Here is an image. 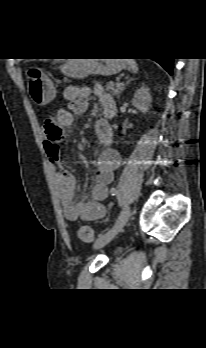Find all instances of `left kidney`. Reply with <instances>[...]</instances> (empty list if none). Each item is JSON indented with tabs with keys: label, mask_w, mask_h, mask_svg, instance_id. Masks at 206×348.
Returning a JSON list of instances; mask_svg holds the SVG:
<instances>
[{
	"label": "left kidney",
	"mask_w": 206,
	"mask_h": 348,
	"mask_svg": "<svg viewBox=\"0 0 206 348\" xmlns=\"http://www.w3.org/2000/svg\"><path fill=\"white\" fill-rule=\"evenodd\" d=\"M152 97L149 93L148 88L141 87L135 94L132 99V104L135 108L142 112H147L151 107ZM123 132L125 129L123 128Z\"/></svg>",
	"instance_id": "obj_1"
}]
</instances>
